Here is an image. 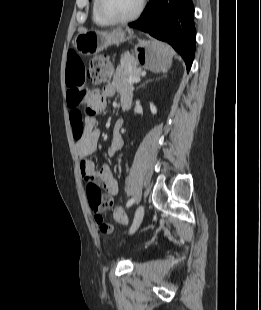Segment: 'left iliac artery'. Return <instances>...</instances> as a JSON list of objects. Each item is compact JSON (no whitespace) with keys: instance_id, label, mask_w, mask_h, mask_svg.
<instances>
[{"instance_id":"44dca946","label":"left iliac artery","mask_w":261,"mask_h":310,"mask_svg":"<svg viewBox=\"0 0 261 310\" xmlns=\"http://www.w3.org/2000/svg\"><path fill=\"white\" fill-rule=\"evenodd\" d=\"M134 199L133 198H131L128 202H127V207H130L133 203H134Z\"/></svg>"}]
</instances>
